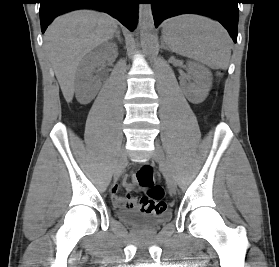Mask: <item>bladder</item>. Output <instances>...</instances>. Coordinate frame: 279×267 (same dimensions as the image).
I'll list each match as a JSON object with an SVG mask.
<instances>
[{
    "mask_svg": "<svg viewBox=\"0 0 279 267\" xmlns=\"http://www.w3.org/2000/svg\"><path fill=\"white\" fill-rule=\"evenodd\" d=\"M118 216L124 223L142 230L158 229L170 219L169 213L149 216L135 210H122Z\"/></svg>",
    "mask_w": 279,
    "mask_h": 267,
    "instance_id": "obj_1",
    "label": "bladder"
}]
</instances>
